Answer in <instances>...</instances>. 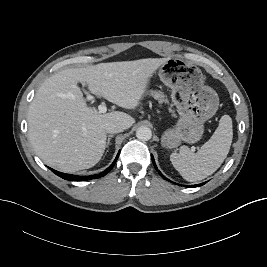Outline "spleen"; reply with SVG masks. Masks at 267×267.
Wrapping results in <instances>:
<instances>
[{
    "instance_id": "obj_1",
    "label": "spleen",
    "mask_w": 267,
    "mask_h": 267,
    "mask_svg": "<svg viewBox=\"0 0 267 267\" xmlns=\"http://www.w3.org/2000/svg\"><path fill=\"white\" fill-rule=\"evenodd\" d=\"M233 138L232 119L223 115L212 137L197 153L182 147L172 153L170 161L180 175L189 182H196L212 175L227 157Z\"/></svg>"
}]
</instances>
